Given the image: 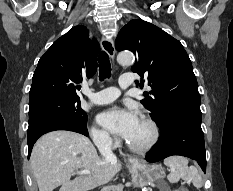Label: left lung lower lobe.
Masks as SVG:
<instances>
[{"mask_svg":"<svg viewBox=\"0 0 233 191\" xmlns=\"http://www.w3.org/2000/svg\"><path fill=\"white\" fill-rule=\"evenodd\" d=\"M160 130V140L146 155L148 162H158L168 156L181 155L197 160L202 170L206 171L201 117L191 114L172 116L166 119L165 125Z\"/></svg>","mask_w":233,"mask_h":191,"instance_id":"1","label":"left lung lower lobe"}]
</instances>
